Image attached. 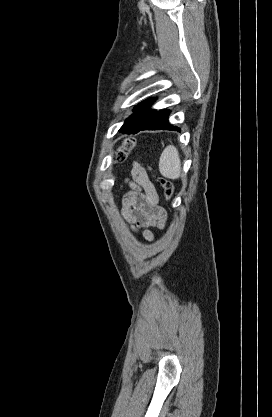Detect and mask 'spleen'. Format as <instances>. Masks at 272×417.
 I'll list each match as a JSON object with an SVG mask.
<instances>
[{
	"label": "spleen",
	"mask_w": 272,
	"mask_h": 417,
	"mask_svg": "<svg viewBox=\"0 0 272 417\" xmlns=\"http://www.w3.org/2000/svg\"><path fill=\"white\" fill-rule=\"evenodd\" d=\"M159 171L168 179H178L181 174V161L178 150L168 145L162 152L159 160Z\"/></svg>",
	"instance_id": "1"
}]
</instances>
